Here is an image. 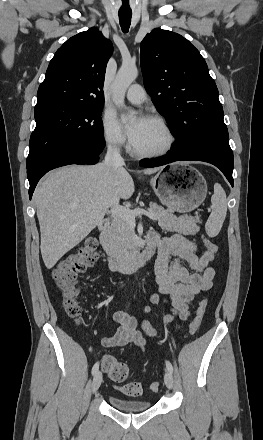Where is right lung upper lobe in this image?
I'll list each match as a JSON object with an SVG mask.
<instances>
[{
	"instance_id": "1",
	"label": "right lung upper lobe",
	"mask_w": 263,
	"mask_h": 440,
	"mask_svg": "<svg viewBox=\"0 0 263 440\" xmlns=\"http://www.w3.org/2000/svg\"><path fill=\"white\" fill-rule=\"evenodd\" d=\"M111 42L96 28L66 41L50 61L35 109L53 106H103V84Z\"/></svg>"
}]
</instances>
